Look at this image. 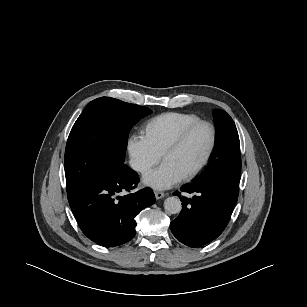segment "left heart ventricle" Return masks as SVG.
<instances>
[{"label": "left heart ventricle", "mask_w": 307, "mask_h": 307, "mask_svg": "<svg viewBox=\"0 0 307 307\" xmlns=\"http://www.w3.org/2000/svg\"><path fill=\"white\" fill-rule=\"evenodd\" d=\"M209 143V129L205 126H200L187 137L176 151L167 155L164 162L170 163L185 176L201 162Z\"/></svg>", "instance_id": "left-heart-ventricle-1"}]
</instances>
